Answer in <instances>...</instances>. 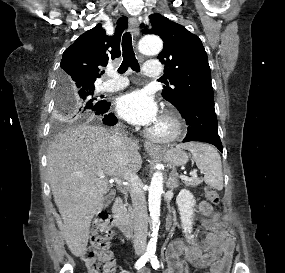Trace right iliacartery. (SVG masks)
I'll return each mask as SVG.
<instances>
[{"label": "right iliac artery", "instance_id": "82829eb1", "mask_svg": "<svg viewBox=\"0 0 285 273\" xmlns=\"http://www.w3.org/2000/svg\"><path fill=\"white\" fill-rule=\"evenodd\" d=\"M149 258L150 256L147 254H144L143 256H141L135 263V268L140 269L141 267H143L146 264V262L149 260Z\"/></svg>", "mask_w": 285, "mask_h": 273}]
</instances>
